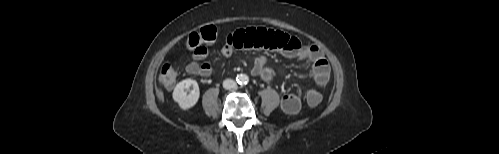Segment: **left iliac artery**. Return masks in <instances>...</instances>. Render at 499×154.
Returning <instances> with one entry per match:
<instances>
[{
    "label": "left iliac artery",
    "instance_id": "44dca946",
    "mask_svg": "<svg viewBox=\"0 0 499 154\" xmlns=\"http://www.w3.org/2000/svg\"><path fill=\"white\" fill-rule=\"evenodd\" d=\"M247 82H248V78H247V77H245V83L247 84Z\"/></svg>",
    "mask_w": 499,
    "mask_h": 154
}]
</instances>
